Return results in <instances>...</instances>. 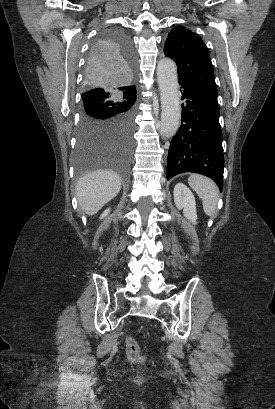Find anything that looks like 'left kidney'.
<instances>
[{
	"label": "left kidney",
	"instance_id": "left-kidney-1",
	"mask_svg": "<svg viewBox=\"0 0 275 409\" xmlns=\"http://www.w3.org/2000/svg\"><path fill=\"white\" fill-rule=\"evenodd\" d=\"M174 200L177 209H183L184 217L196 225L197 213L195 198L186 184L177 182L174 186Z\"/></svg>",
	"mask_w": 275,
	"mask_h": 409
}]
</instances>
